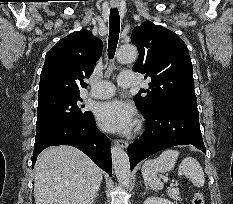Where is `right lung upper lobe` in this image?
Listing matches in <instances>:
<instances>
[{
  "mask_svg": "<svg viewBox=\"0 0 233 204\" xmlns=\"http://www.w3.org/2000/svg\"><path fill=\"white\" fill-rule=\"evenodd\" d=\"M102 49V41L85 29L59 40L45 56L38 101L79 95V90L87 87L84 79L92 74Z\"/></svg>",
  "mask_w": 233,
  "mask_h": 204,
  "instance_id": "cb5924a9",
  "label": "right lung upper lobe"
}]
</instances>
